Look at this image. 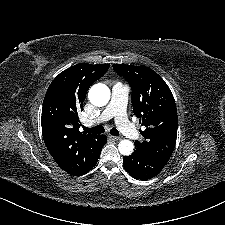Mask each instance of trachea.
<instances>
[{
	"label": "trachea",
	"mask_w": 225,
	"mask_h": 225,
	"mask_svg": "<svg viewBox=\"0 0 225 225\" xmlns=\"http://www.w3.org/2000/svg\"><path fill=\"white\" fill-rule=\"evenodd\" d=\"M84 131L85 132H89V133H96V134H101L104 132V127L99 125V126H95L92 128H88V127H84ZM110 134L114 135V136H118L119 135V131L116 128H112L110 130Z\"/></svg>",
	"instance_id": "obj_1"
}]
</instances>
